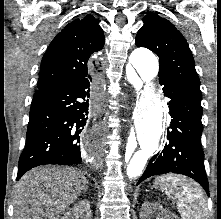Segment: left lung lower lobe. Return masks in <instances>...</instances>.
I'll list each match as a JSON object with an SVG mask.
<instances>
[{
  "label": "left lung lower lobe",
  "mask_w": 221,
  "mask_h": 219,
  "mask_svg": "<svg viewBox=\"0 0 221 219\" xmlns=\"http://www.w3.org/2000/svg\"><path fill=\"white\" fill-rule=\"evenodd\" d=\"M163 91L171 99L169 109L173 118L167 131L168 142L150 159L137 185L154 175L177 173L193 178L209 196L201 146V98L171 84H165Z\"/></svg>",
  "instance_id": "left-lung-lower-lobe-1"
}]
</instances>
